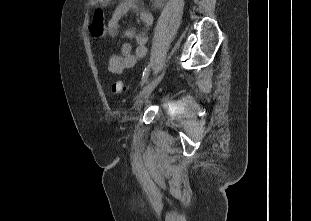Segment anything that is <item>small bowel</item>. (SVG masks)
<instances>
[{
    "label": "small bowel",
    "instance_id": "c3829d8e",
    "mask_svg": "<svg viewBox=\"0 0 311 221\" xmlns=\"http://www.w3.org/2000/svg\"><path fill=\"white\" fill-rule=\"evenodd\" d=\"M131 10L138 13L139 20L145 27L152 25L153 16L144 8L142 0H121L114 8L108 22L110 37L114 38L117 35L120 19ZM125 37L134 40L136 46L133 47L130 43H124L119 53L110 56L108 67L112 74H121L124 70L134 67L137 61L146 55L147 34L145 31L138 32L134 29H128L125 32Z\"/></svg>",
    "mask_w": 311,
    "mask_h": 221
}]
</instances>
